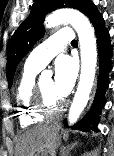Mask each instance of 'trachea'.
Returning <instances> with one entry per match:
<instances>
[{
  "instance_id": "trachea-1",
  "label": "trachea",
  "mask_w": 114,
  "mask_h": 156,
  "mask_svg": "<svg viewBox=\"0 0 114 156\" xmlns=\"http://www.w3.org/2000/svg\"><path fill=\"white\" fill-rule=\"evenodd\" d=\"M71 43L72 44H77V41L76 40H73Z\"/></svg>"
}]
</instances>
